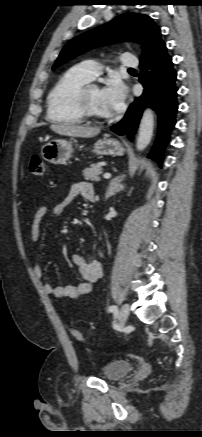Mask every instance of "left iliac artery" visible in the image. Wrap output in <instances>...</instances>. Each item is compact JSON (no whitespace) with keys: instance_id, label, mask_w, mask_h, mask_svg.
I'll list each match as a JSON object with an SVG mask.
<instances>
[{"instance_id":"44dca946","label":"left iliac artery","mask_w":202,"mask_h":437,"mask_svg":"<svg viewBox=\"0 0 202 437\" xmlns=\"http://www.w3.org/2000/svg\"><path fill=\"white\" fill-rule=\"evenodd\" d=\"M108 311H109V312H117V311H118V308H117V306L112 305V306H109V307H108Z\"/></svg>"}]
</instances>
